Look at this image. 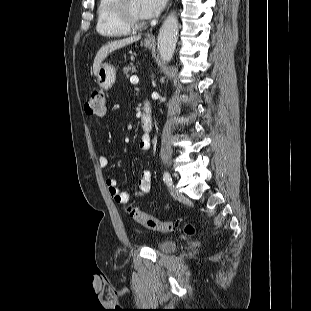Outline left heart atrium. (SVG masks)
Wrapping results in <instances>:
<instances>
[{"label":"left heart atrium","mask_w":311,"mask_h":311,"mask_svg":"<svg viewBox=\"0 0 311 311\" xmlns=\"http://www.w3.org/2000/svg\"><path fill=\"white\" fill-rule=\"evenodd\" d=\"M167 0H139L140 14L144 19L157 16L165 7Z\"/></svg>","instance_id":"obj_1"}]
</instances>
